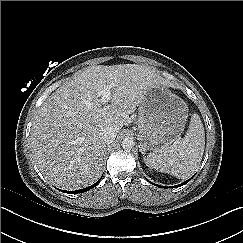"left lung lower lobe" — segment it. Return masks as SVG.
<instances>
[{
	"label": "left lung lower lobe",
	"mask_w": 243,
	"mask_h": 243,
	"mask_svg": "<svg viewBox=\"0 0 243 243\" xmlns=\"http://www.w3.org/2000/svg\"><path fill=\"white\" fill-rule=\"evenodd\" d=\"M147 181H148V180H147ZM188 181H189V180L185 181L184 183L180 184V185L177 186V187H180V186L186 184ZM148 182H150V181H148ZM150 183H151V182H150ZM154 185H155V184H154ZM156 186L160 187V185H157V184H156ZM161 188H165V187H164V186H161Z\"/></svg>",
	"instance_id": "0a47b994"
}]
</instances>
